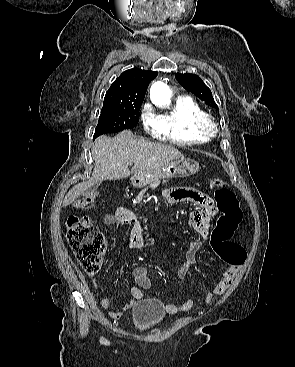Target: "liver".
I'll return each mask as SVG.
<instances>
[{
    "mask_svg": "<svg viewBox=\"0 0 295 367\" xmlns=\"http://www.w3.org/2000/svg\"><path fill=\"white\" fill-rule=\"evenodd\" d=\"M94 170L92 177L75 185L65 196L63 206L73 203L85 190L97 182L117 180L144 174L173 160L183 159L176 148L136 138L131 131L125 130L114 138L100 136L92 148ZM134 163L131 172L129 166Z\"/></svg>",
    "mask_w": 295,
    "mask_h": 367,
    "instance_id": "6515ba94",
    "label": "liver"
}]
</instances>
